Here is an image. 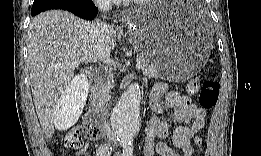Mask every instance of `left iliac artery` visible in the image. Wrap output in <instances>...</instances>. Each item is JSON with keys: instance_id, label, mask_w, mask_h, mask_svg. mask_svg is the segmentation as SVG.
I'll return each instance as SVG.
<instances>
[{"instance_id": "44dca946", "label": "left iliac artery", "mask_w": 261, "mask_h": 156, "mask_svg": "<svg viewBox=\"0 0 261 156\" xmlns=\"http://www.w3.org/2000/svg\"><path fill=\"white\" fill-rule=\"evenodd\" d=\"M120 143L123 147L122 156H132L133 155V145L131 138H121Z\"/></svg>"}]
</instances>
